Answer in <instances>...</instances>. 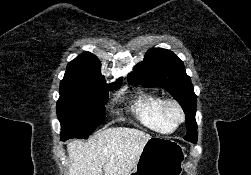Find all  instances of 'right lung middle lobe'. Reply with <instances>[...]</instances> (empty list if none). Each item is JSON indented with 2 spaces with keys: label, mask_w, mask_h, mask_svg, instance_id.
I'll use <instances>...</instances> for the list:
<instances>
[{
  "label": "right lung middle lobe",
  "mask_w": 251,
  "mask_h": 175,
  "mask_svg": "<svg viewBox=\"0 0 251 175\" xmlns=\"http://www.w3.org/2000/svg\"><path fill=\"white\" fill-rule=\"evenodd\" d=\"M108 90L60 83L57 116L62 127L61 139L87 138L105 118Z\"/></svg>",
  "instance_id": "obj_1"
}]
</instances>
